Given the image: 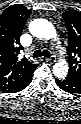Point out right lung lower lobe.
<instances>
[{"instance_id": "98d812e1", "label": "right lung lower lobe", "mask_w": 81, "mask_h": 124, "mask_svg": "<svg viewBox=\"0 0 81 124\" xmlns=\"http://www.w3.org/2000/svg\"><path fill=\"white\" fill-rule=\"evenodd\" d=\"M34 70L29 74V76L24 81H22L21 83H19L18 85L14 86V87H12L10 89L5 90L4 92H7V93L12 92L13 93V92L22 91L23 89H25L30 84V82L32 80Z\"/></svg>"}]
</instances>
